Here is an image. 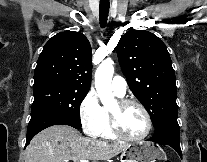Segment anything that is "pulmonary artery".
I'll return each mask as SVG.
<instances>
[{
  "mask_svg": "<svg viewBox=\"0 0 207 162\" xmlns=\"http://www.w3.org/2000/svg\"><path fill=\"white\" fill-rule=\"evenodd\" d=\"M111 88L116 96L124 97L127 91V83L122 77L115 76L112 80Z\"/></svg>",
  "mask_w": 207,
  "mask_h": 162,
  "instance_id": "e3ab8cb5",
  "label": "pulmonary artery"
}]
</instances>
